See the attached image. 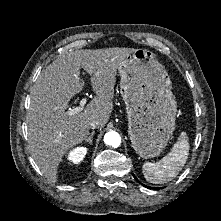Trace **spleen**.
I'll list each match as a JSON object with an SVG mask.
<instances>
[{"mask_svg":"<svg viewBox=\"0 0 221 221\" xmlns=\"http://www.w3.org/2000/svg\"><path fill=\"white\" fill-rule=\"evenodd\" d=\"M189 155L187 134L181 132L171 151L156 163L146 162L142 166L145 179L153 184H163L175 178L185 165Z\"/></svg>","mask_w":221,"mask_h":221,"instance_id":"spleen-1","label":"spleen"}]
</instances>
